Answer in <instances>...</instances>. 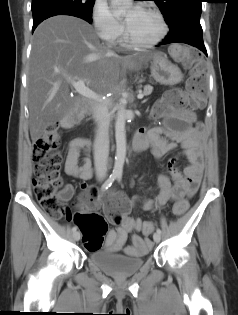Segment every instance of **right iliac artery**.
Returning <instances> with one entry per match:
<instances>
[{"instance_id":"82829eb1","label":"right iliac artery","mask_w":238,"mask_h":315,"mask_svg":"<svg viewBox=\"0 0 238 315\" xmlns=\"http://www.w3.org/2000/svg\"><path fill=\"white\" fill-rule=\"evenodd\" d=\"M116 178H117V174L112 173L109 176V178L104 182V184L101 186V191L107 190L113 184V182L116 180ZM76 230H77V226H74L72 228V231L75 232Z\"/></svg>"}]
</instances>
